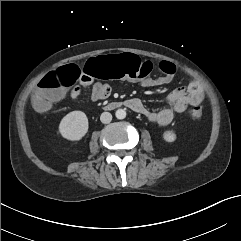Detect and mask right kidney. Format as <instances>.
I'll use <instances>...</instances> for the list:
<instances>
[{
    "label": "right kidney",
    "mask_w": 241,
    "mask_h": 241,
    "mask_svg": "<svg viewBox=\"0 0 241 241\" xmlns=\"http://www.w3.org/2000/svg\"><path fill=\"white\" fill-rule=\"evenodd\" d=\"M88 118L82 111H72L59 124L60 135L70 141L81 140L88 132Z\"/></svg>",
    "instance_id": "ca27d5eb"
}]
</instances>
